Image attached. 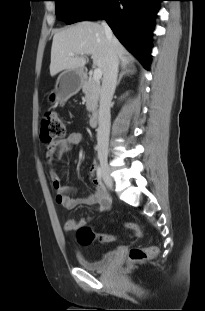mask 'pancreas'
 Segmentation results:
<instances>
[{
	"instance_id": "pancreas-1",
	"label": "pancreas",
	"mask_w": 205,
	"mask_h": 311,
	"mask_svg": "<svg viewBox=\"0 0 205 311\" xmlns=\"http://www.w3.org/2000/svg\"><path fill=\"white\" fill-rule=\"evenodd\" d=\"M82 91L85 94L87 111L95 113L100 96V83L89 77L83 81Z\"/></svg>"
}]
</instances>
